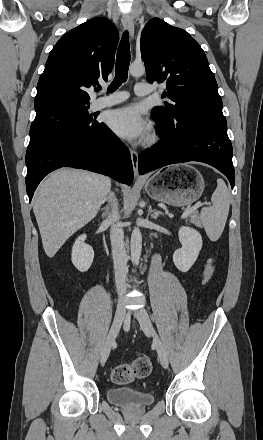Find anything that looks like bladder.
Wrapping results in <instances>:
<instances>
[{"label": "bladder", "mask_w": 263, "mask_h": 440, "mask_svg": "<svg viewBox=\"0 0 263 440\" xmlns=\"http://www.w3.org/2000/svg\"><path fill=\"white\" fill-rule=\"evenodd\" d=\"M107 399L125 410H141L150 407L155 397L152 393L132 387H110L106 390Z\"/></svg>", "instance_id": "obj_1"}]
</instances>
